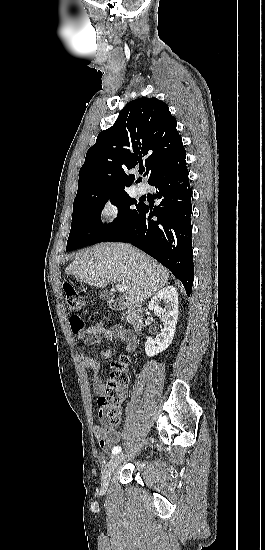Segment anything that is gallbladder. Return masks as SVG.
<instances>
[{"label": "gallbladder", "instance_id": "gallbladder-1", "mask_svg": "<svg viewBox=\"0 0 265 550\" xmlns=\"http://www.w3.org/2000/svg\"><path fill=\"white\" fill-rule=\"evenodd\" d=\"M111 297H112V295H111V293L108 292V291H102V292H100V298H101V299L106 300V299H109V298H111Z\"/></svg>", "mask_w": 265, "mask_h": 550}]
</instances>
